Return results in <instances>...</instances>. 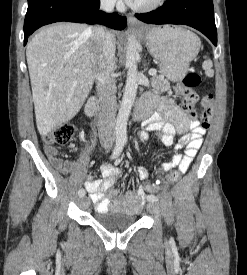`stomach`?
<instances>
[{"label":"stomach","mask_w":247,"mask_h":275,"mask_svg":"<svg viewBox=\"0 0 247 275\" xmlns=\"http://www.w3.org/2000/svg\"><path fill=\"white\" fill-rule=\"evenodd\" d=\"M160 71L171 81L181 80L196 57L200 40L181 27H145L140 31Z\"/></svg>","instance_id":"obj_1"}]
</instances>
